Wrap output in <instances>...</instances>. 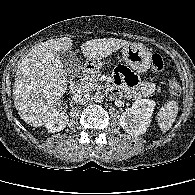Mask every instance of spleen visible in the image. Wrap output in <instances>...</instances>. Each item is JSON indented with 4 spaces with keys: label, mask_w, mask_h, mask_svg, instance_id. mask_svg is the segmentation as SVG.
I'll use <instances>...</instances> for the list:
<instances>
[{
    "label": "spleen",
    "mask_w": 195,
    "mask_h": 195,
    "mask_svg": "<svg viewBox=\"0 0 195 195\" xmlns=\"http://www.w3.org/2000/svg\"><path fill=\"white\" fill-rule=\"evenodd\" d=\"M178 102L174 99L164 104L157 113V122L162 132L168 131L176 120L178 114Z\"/></svg>",
    "instance_id": "obj_1"
}]
</instances>
